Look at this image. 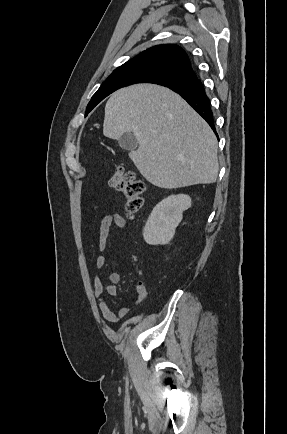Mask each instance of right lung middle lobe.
<instances>
[{
    "label": "right lung middle lobe",
    "mask_w": 287,
    "mask_h": 434,
    "mask_svg": "<svg viewBox=\"0 0 287 434\" xmlns=\"http://www.w3.org/2000/svg\"><path fill=\"white\" fill-rule=\"evenodd\" d=\"M179 79L180 76L176 74L154 68H143L133 71L113 73L91 98L85 116H87V114L105 97L124 86L135 83L158 84L163 81H177Z\"/></svg>",
    "instance_id": "right-lung-middle-lobe-1"
}]
</instances>
